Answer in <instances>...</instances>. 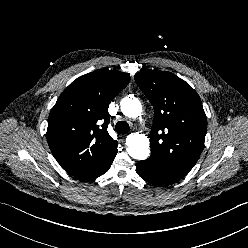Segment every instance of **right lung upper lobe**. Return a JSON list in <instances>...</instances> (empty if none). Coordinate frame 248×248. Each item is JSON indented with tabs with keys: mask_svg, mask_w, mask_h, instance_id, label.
Wrapping results in <instances>:
<instances>
[{
	"mask_svg": "<svg viewBox=\"0 0 248 248\" xmlns=\"http://www.w3.org/2000/svg\"><path fill=\"white\" fill-rule=\"evenodd\" d=\"M130 81L127 73L99 69L74 80L52 108L47 141L69 174L86 180L110 160L116 146L107 131L111 100Z\"/></svg>",
	"mask_w": 248,
	"mask_h": 248,
	"instance_id": "1",
	"label": "right lung upper lobe"
}]
</instances>
